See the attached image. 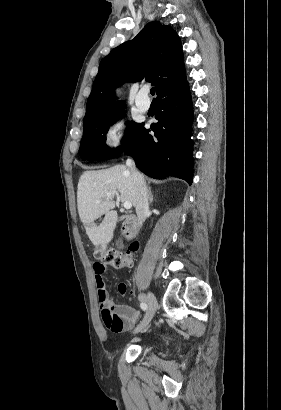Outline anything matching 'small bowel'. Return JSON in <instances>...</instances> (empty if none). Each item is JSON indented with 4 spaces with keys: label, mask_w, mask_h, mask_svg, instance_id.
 Wrapping results in <instances>:
<instances>
[{
    "label": "small bowel",
    "mask_w": 281,
    "mask_h": 410,
    "mask_svg": "<svg viewBox=\"0 0 281 410\" xmlns=\"http://www.w3.org/2000/svg\"><path fill=\"white\" fill-rule=\"evenodd\" d=\"M130 266V265H129ZM108 265L102 262H95L93 264L94 279L97 288V300L99 306L104 311H109L117 315L122 320V326L113 332L122 333L129 330L139 319V312L133 307L126 304H114L106 290L104 275L107 271ZM118 292L120 295L127 294V286L124 283L118 285ZM130 295L132 292L129 293Z\"/></svg>",
    "instance_id": "obj_1"
}]
</instances>
